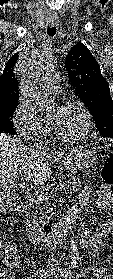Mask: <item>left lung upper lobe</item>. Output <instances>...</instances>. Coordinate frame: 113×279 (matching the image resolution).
<instances>
[{"instance_id": "1", "label": "left lung upper lobe", "mask_w": 113, "mask_h": 279, "mask_svg": "<svg viewBox=\"0 0 113 279\" xmlns=\"http://www.w3.org/2000/svg\"><path fill=\"white\" fill-rule=\"evenodd\" d=\"M65 67L71 86L92 114L100 134L113 138V101L96 59L80 42L68 53Z\"/></svg>"}]
</instances>
